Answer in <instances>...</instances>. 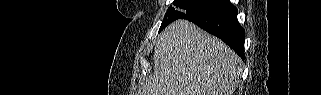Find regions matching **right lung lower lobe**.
<instances>
[{
    "label": "right lung lower lobe",
    "mask_w": 321,
    "mask_h": 95,
    "mask_svg": "<svg viewBox=\"0 0 321 95\" xmlns=\"http://www.w3.org/2000/svg\"><path fill=\"white\" fill-rule=\"evenodd\" d=\"M183 19L217 36L244 59L245 31L238 23L236 7L229 0H213Z\"/></svg>",
    "instance_id": "98d812e1"
}]
</instances>
